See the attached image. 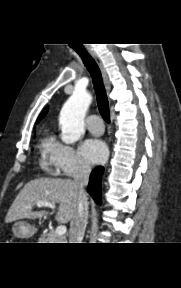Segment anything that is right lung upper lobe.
<instances>
[{
    "instance_id": "1",
    "label": "right lung upper lobe",
    "mask_w": 181,
    "mask_h": 288,
    "mask_svg": "<svg viewBox=\"0 0 181 288\" xmlns=\"http://www.w3.org/2000/svg\"><path fill=\"white\" fill-rule=\"evenodd\" d=\"M47 111H48V108H45V110L38 117L37 121H40L46 115Z\"/></svg>"
}]
</instances>
